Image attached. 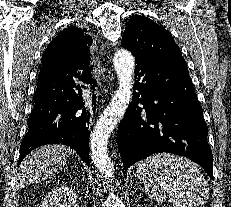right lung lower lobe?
<instances>
[{
    "instance_id": "obj_1",
    "label": "right lung lower lobe",
    "mask_w": 231,
    "mask_h": 207,
    "mask_svg": "<svg viewBox=\"0 0 231 207\" xmlns=\"http://www.w3.org/2000/svg\"><path fill=\"white\" fill-rule=\"evenodd\" d=\"M89 63L90 58L86 64H79L83 70L80 76L69 66L42 65L18 164L33 149L53 143L70 146L89 166V135L96 109L94 90L97 85ZM73 76L87 86H76Z\"/></svg>"
}]
</instances>
